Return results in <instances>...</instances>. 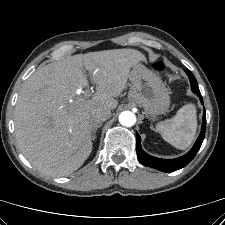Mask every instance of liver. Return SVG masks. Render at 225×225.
Returning a JSON list of instances; mask_svg holds the SVG:
<instances>
[{
    "mask_svg": "<svg viewBox=\"0 0 225 225\" xmlns=\"http://www.w3.org/2000/svg\"><path fill=\"white\" fill-rule=\"evenodd\" d=\"M145 62L135 49H113L78 54L39 67L24 83L15 106L17 144L33 167L51 176L76 171L92 152L96 107L115 109L130 78L131 68ZM89 71V75L85 74ZM96 85L91 97L77 95Z\"/></svg>",
    "mask_w": 225,
    "mask_h": 225,
    "instance_id": "6515ba94",
    "label": "liver"
}]
</instances>
